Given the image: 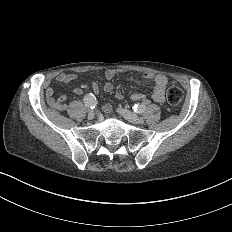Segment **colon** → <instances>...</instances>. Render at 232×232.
<instances>
[{
  "mask_svg": "<svg viewBox=\"0 0 232 232\" xmlns=\"http://www.w3.org/2000/svg\"><path fill=\"white\" fill-rule=\"evenodd\" d=\"M168 94H166V107H182V94H181V86H168L167 87ZM51 102L54 106H56L57 113L65 112V102L66 97L61 92H56L51 96Z\"/></svg>",
  "mask_w": 232,
  "mask_h": 232,
  "instance_id": "5ec220e1",
  "label": "colon"
}]
</instances>
